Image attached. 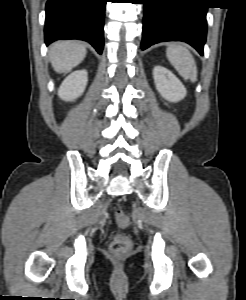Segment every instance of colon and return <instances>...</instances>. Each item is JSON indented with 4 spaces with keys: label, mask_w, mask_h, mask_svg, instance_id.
Returning <instances> with one entry per match:
<instances>
[{
    "label": "colon",
    "mask_w": 246,
    "mask_h": 300,
    "mask_svg": "<svg viewBox=\"0 0 246 300\" xmlns=\"http://www.w3.org/2000/svg\"><path fill=\"white\" fill-rule=\"evenodd\" d=\"M115 218L118 226L120 228H126L129 225L128 216L122 211V209L117 208L115 210ZM132 248V240L128 235L119 234L115 236L110 244V251L115 258H121L125 256Z\"/></svg>",
    "instance_id": "1"
}]
</instances>
